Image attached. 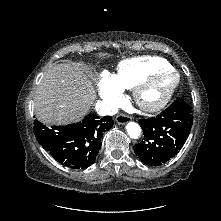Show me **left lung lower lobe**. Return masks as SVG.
<instances>
[{
    "mask_svg": "<svg viewBox=\"0 0 221 221\" xmlns=\"http://www.w3.org/2000/svg\"><path fill=\"white\" fill-rule=\"evenodd\" d=\"M193 115L188 103L175 100L156 117L140 119L144 139L134 145V152L149 166H159L174 157L189 135Z\"/></svg>",
    "mask_w": 221,
    "mask_h": 221,
    "instance_id": "obj_1",
    "label": "left lung lower lobe"
}]
</instances>
